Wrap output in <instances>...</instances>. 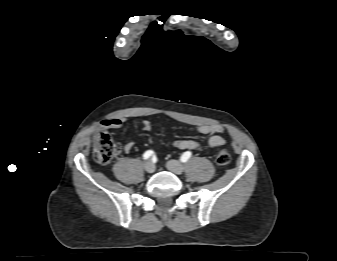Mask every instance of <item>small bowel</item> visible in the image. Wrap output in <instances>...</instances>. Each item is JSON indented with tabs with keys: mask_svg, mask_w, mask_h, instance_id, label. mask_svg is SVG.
I'll use <instances>...</instances> for the list:
<instances>
[{
	"mask_svg": "<svg viewBox=\"0 0 337 261\" xmlns=\"http://www.w3.org/2000/svg\"><path fill=\"white\" fill-rule=\"evenodd\" d=\"M123 124V119L114 117L110 119H105L100 122L99 128L100 129H112V128H119ZM142 128L145 131H150L153 128V125L150 121L144 120L142 122ZM197 131L200 134L209 136L208 138V145L210 147H221L226 144L225 138L222 136L223 134V127L218 124H204L197 127ZM174 146L180 150H197L200 148L201 144L192 139H178L174 141ZM134 144L133 142L129 141L123 146V150L128 153L132 150Z\"/></svg>",
	"mask_w": 337,
	"mask_h": 261,
	"instance_id": "obj_1",
	"label": "small bowel"
}]
</instances>
